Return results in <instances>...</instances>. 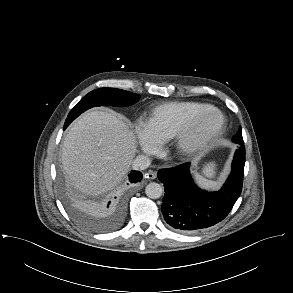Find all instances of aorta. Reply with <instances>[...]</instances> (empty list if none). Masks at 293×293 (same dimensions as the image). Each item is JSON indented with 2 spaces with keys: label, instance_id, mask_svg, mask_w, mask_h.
<instances>
[{
  "label": "aorta",
  "instance_id": "aorta-1",
  "mask_svg": "<svg viewBox=\"0 0 293 293\" xmlns=\"http://www.w3.org/2000/svg\"><path fill=\"white\" fill-rule=\"evenodd\" d=\"M145 193L151 199H158L162 196L163 187L156 182H151L146 186Z\"/></svg>",
  "mask_w": 293,
  "mask_h": 293
}]
</instances>
